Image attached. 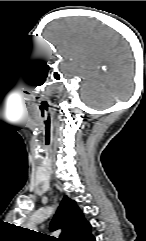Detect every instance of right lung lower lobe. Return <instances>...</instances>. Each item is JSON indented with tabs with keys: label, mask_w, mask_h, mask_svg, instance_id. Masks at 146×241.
I'll return each instance as SVG.
<instances>
[{
	"label": "right lung lower lobe",
	"mask_w": 146,
	"mask_h": 241,
	"mask_svg": "<svg viewBox=\"0 0 146 241\" xmlns=\"http://www.w3.org/2000/svg\"><path fill=\"white\" fill-rule=\"evenodd\" d=\"M89 241H95V237L92 236L91 239H89Z\"/></svg>",
	"instance_id": "right-lung-lower-lobe-1"
}]
</instances>
